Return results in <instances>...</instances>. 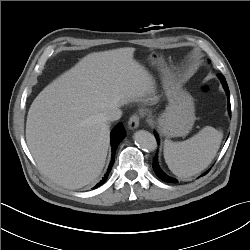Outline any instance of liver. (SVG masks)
Instances as JSON below:
<instances>
[{
	"label": "liver",
	"instance_id": "obj_1",
	"mask_svg": "<svg viewBox=\"0 0 250 250\" xmlns=\"http://www.w3.org/2000/svg\"><path fill=\"white\" fill-rule=\"evenodd\" d=\"M134 52L126 47L88 54L32 102L27 145L55 183L78 189L94 182L110 145L104 113L154 92L152 77Z\"/></svg>",
	"mask_w": 250,
	"mask_h": 250
}]
</instances>
